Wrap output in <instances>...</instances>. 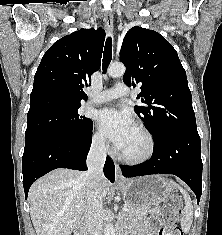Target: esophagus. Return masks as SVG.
I'll return each mask as SVG.
<instances>
[{
  "label": "esophagus",
  "instance_id": "obj_1",
  "mask_svg": "<svg viewBox=\"0 0 222 235\" xmlns=\"http://www.w3.org/2000/svg\"><path fill=\"white\" fill-rule=\"evenodd\" d=\"M104 23H105V28L109 36L112 35L113 31V15L112 13L108 12L104 16ZM115 176H116V181L121 182L123 181V177L121 174V169L119 164L115 163Z\"/></svg>",
  "mask_w": 222,
  "mask_h": 235
}]
</instances>
